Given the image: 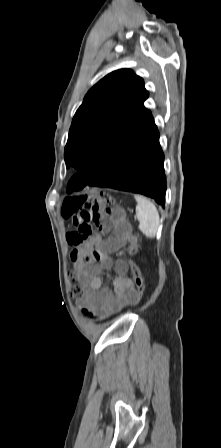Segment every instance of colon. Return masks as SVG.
<instances>
[{"label": "colon", "instance_id": "obj_1", "mask_svg": "<svg viewBox=\"0 0 221 448\" xmlns=\"http://www.w3.org/2000/svg\"><path fill=\"white\" fill-rule=\"evenodd\" d=\"M113 199L109 194L99 192L90 196H69L62 205V215L66 219H71L77 227V232L82 240L90 237L94 225L101 223L121 224L123 222L122 215L112 208ZM139 237L135 235V241L127 248V253L133 255L137 251V243ZM100 259L99 251L89 252L85 256V260L89 262H98ZM129 267L133 274L134 283L137 289L138 299L144 293L145 286L141 277L139 267L132 261H129ZM69 278L73 284L71 294L74 298H78L81 294V288L77 284V273L72 271ZM84 314L93 317L94 314L89 309L83 310Z\"/></svg>", "mask_w": 221, "mask_h": 448}]
</instances>
